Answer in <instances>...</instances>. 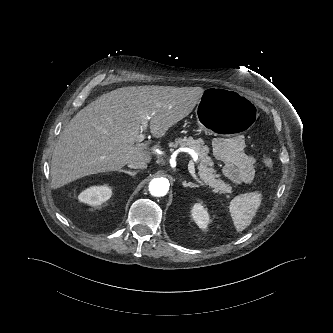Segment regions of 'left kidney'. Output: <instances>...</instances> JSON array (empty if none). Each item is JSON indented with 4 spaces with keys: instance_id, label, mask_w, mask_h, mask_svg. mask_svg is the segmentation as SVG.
Listing matches in <instances>:
<instances>
[{
    "instance_id": "obj_1",
    "label": "left kidney",
    "mask_w": 333,
    "mask_h": 333,
    "mask_svg": "<svg viewBox=\"0 0 333 333\" xmlns=\"http://www.w3.org/2000/svg\"><path fill=\"white\" fill-rule=\"evenodd\" d=\"M191 215L195 223L199 226L200 229L205 230L209 224L210 218L207 210L201 203H196L192 210Z\"/></svg>"
}]
</instances>
